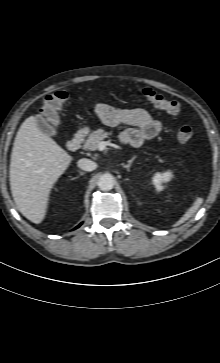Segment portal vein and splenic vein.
<instances>
[{"instance_id":"obj_1","label":"portal vein and splenic vein","mask_w":220,"mask_h":363,"mask_svg":"<svg viewBox=\"0 0 220 363\" xmlns=\"http://www.w3.org/2000/svg\"><path fill=\"white\" fill-rule=\"evenodd\" d=\"M106 146H107V142H105V141H101V142L98 144L97 148H98V150L103 151V150L105 149V147H106Z\"/></svg>"}]
</instances>
